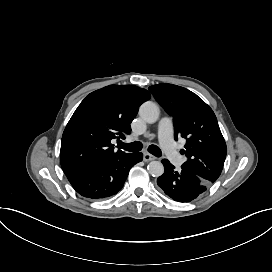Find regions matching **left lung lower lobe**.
<instances>
[{
    "instance_id": "1",
    "label": "left lung lower lobe",
    "mask_w": 272,
    "mask_h": 272,
    "mask_svg": "<svg viewBox=\"0 0 272 272\" xmlns=\"http://www.w3.org/2000/svg\"><path fill=\"white\" fill-rule=\"evenodd\" d=\"M162 163L165 172L158 177L157 184L174 201L191 202L211 186L198 175L183 168L180 172L175 171V167L167 159H163Z\"/></svg>"
}]
</instances>
